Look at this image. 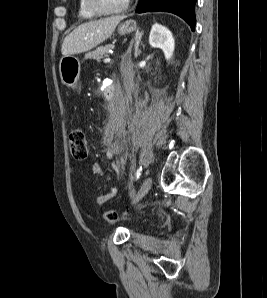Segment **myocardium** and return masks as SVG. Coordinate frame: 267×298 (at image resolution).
Returning <instances> with one entry per match:
<instances>
[{
	"label": "myocardium",
	"mask_w": 267,
	"mask_h": 298,
	"mask_svg": "<svg viewBox=\"0 0 267 298\" xmlns=\"http://www.w3.org/2000/svg\"><path fill=\"white\" fill-rule=\"evenodd\" d=\"M85 1H86L87 8L97 16H113V15L122 14L128 9L131 2V0H126L120 8L113 11H108L103 9L99 5L97 0H85Z\"/></svg>",
	"instance_id": "obj_1"
}]
</instances>
